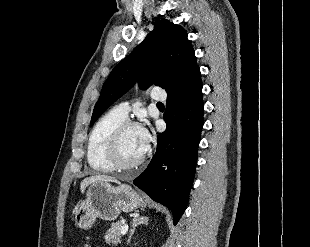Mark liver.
<instances>
[{"label": "liver", "mask_w": 310, "mask_h": 247, "mask_svg": "<svg viewBox=\"0 0 310 247\" xmlns=\"http://www.w3.org/2000/svg\"><path fill=\"white\" fill-rule=\"evenodd\" d=\"M113 182V183H118V180L112 176H107V175H95V176H90L82 180L80 184V190L83 193L85 189L92 183L94 182Z\"/></svg>", "instance_id": "obj_1"}]
</instances>
